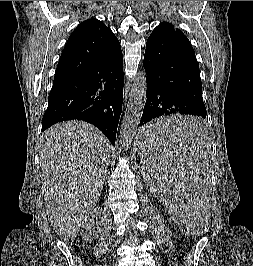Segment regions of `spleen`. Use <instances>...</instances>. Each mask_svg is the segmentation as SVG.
<instances>
[{"label": "spleen", "mask_w": 253, "mask_h": 266, "mask_svg": "<svg viewBox=\"0 0 253 266\" xmlns=\"http://www.w3.org/2000/svg\"><path fill=\"white\" fill-rule=\"evenodd\" d=\"M193 111H171L142 123L139 138L140 169L147 187H160L154 198L168 204L178 229L185 235H208L207 202L211 178V141H205L206 123Z\"/></svg>", "instance_id": "1"}]
</instances>
